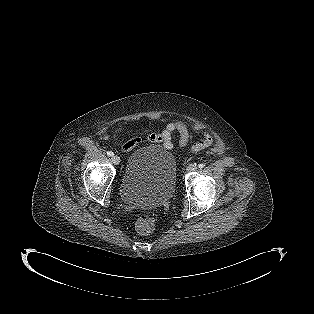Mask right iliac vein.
<instances>
[{"mask_svg": "<svg viewBox=\"0 0 314 314\" xmlns=\"http://www.w3.org/2000/svg\"><path fill=\"white\" fill-rule=\"evenodd\" d=\"M112 162H113L115 165H118V164L120 163V158H119V156L113 155V156H112Z\"/></svg>", "mask_w": 314, "mask_h": 314, "instance_id": "obj_1", "label": "right iliac vein"}]
</instances>
